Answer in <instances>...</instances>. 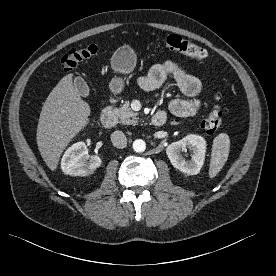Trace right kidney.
<instances>
[{
    "mask_svg": "<svg viewBox=\"0 0 276 276\" xmlns=\"http://www.w3.org/2000/svg\"><path fill=\"white\" fill-rule=\"evenodd\" d=\"M101 163V157L98 155L88 158L86 144L77 142L65 151L61 159V169L65 174L85 177L94 173Z\"/></svg>",
    "mask_w": 276,
    "mask_h": 276,
    "instance_id": "ca27d5eb",
    "label": "right kidney"
}]
</instances>
